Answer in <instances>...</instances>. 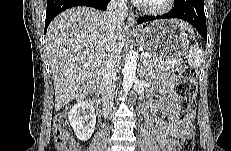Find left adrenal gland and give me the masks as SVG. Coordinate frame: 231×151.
Listing matches in <instances>:
<instances>
[{"mask_svg":"<svg viewBox=\"0 0 231 151\" xmlns=\"http://www.w3.org/2000/svg\"><path fill=\"white\" fill-rule=\"evenodd\" d=\"M143 66H141V69H140V74H141V76H142V78L144 77V74H145V72H143Z\"/></svg>","mask_w":231,"mask_h":151,"instance_id":"1","label":"left adrenal gland"}]
</instances>
